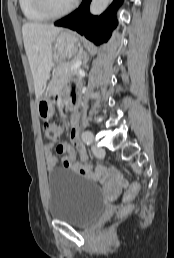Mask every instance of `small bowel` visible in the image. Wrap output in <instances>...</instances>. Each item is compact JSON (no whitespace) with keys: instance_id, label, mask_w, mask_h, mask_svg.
<instances>
[{"instance_id":"small-bowel-1","label":"small bowel","mask_w":174,"mask_h":258,"mask_svg":"<svg viewBox=\"0 0 174 258\" xmlns=\"http://www.w3.org/2000/svg\"><path fill=\"white\" fill-rule=\"evenodd\" d=\"M65 94L70 97H77L75 89L69 88ZM80 132V117L74 114L71 117V128L69 132L70 143H61L55 147L46 145L44 147V156L48 171H53L58 163V155L62 157L63 167L73 170L83 176L84 179H101V184H112V178L119 184H129V179H123L121 171H114L113 167H90V162H87L88 155L84 145L79 139ZM76 151L79 155V162H76Z\"/></svg>"}]
</instances>
